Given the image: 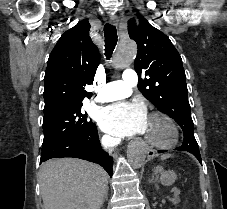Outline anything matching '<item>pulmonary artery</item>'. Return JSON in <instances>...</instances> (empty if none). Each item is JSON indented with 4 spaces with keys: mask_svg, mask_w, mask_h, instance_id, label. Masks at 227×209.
Instances as JSON below:
<instances>
[{
    "mask_svg": "<svg viewBox=\"0 0 227 209\" xmlns=\"http://www.w3.org/2000/svg\"><path fill=\"white\" fill-rule=\"evenodd\" d=\"M123 78L117 81L118 84L102 82V87L93 88V91L104 92L93 99V102L107 103L129 96L132 93L134 83H137L136 73L133 70H124Z\"/></svg>",
    "mask_w": 227,
    "mask_h": 209,
    "instance_id": "1",
    "label": "pulmonary artery"
}]
</instances>
